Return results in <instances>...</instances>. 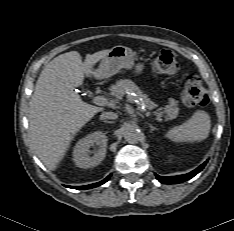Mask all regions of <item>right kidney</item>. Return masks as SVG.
Listing matches in <instances>:
<instances>
[{"label": "right kidney", "instance_id": "1", "mask_svg": "<svg viewBox=\"0 0 234 231\" xmlns=\"http://www.w3.org/2000/svg\"><path fill=\"white\" fill-rule=\"evenodd\" d=\"M107 137L101 131H96L81 139L73 150V160L80 168H90L97 166L106 156ZM98 146L97 152L90 156V148Z\"/></svg>", "mask_w": 234, "mask_h": 231}]
</instances>
